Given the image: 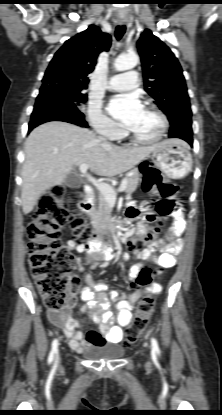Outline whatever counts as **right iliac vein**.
<instances>
[{
  "instance_id": "1",
  "label": "right iliac vein",
  "mask_w": 222,
  "mask_h": 415,
  "mask_svg": "<svg viewBox=\"0 0 222 415\" xmlns=\"http://www.w3.org/2000/svg\"><path fill=\"white\" fill-rule=\"evenodd\" d=\"M61 361V354L58 355V363Z\"/></svg>"
}]
</instances>
